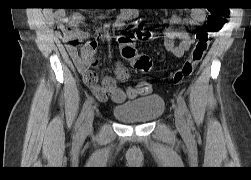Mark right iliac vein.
<instances>
[{
    "label": "right iliac vein",
    "instance_id": "63e3f726",
    "mask_svg": "<svg viewBox=\"0 0 251 180\" xmlns=\"http://www.w3.org/2000/svg\"><path fill=\"white\" fill-rule=\"evenodd\" d=\"M94 114H95V108L92 107V108H90V110L88 111V113L85 117V121L82 126L83 132H88L91 130L92 124H93V119H94Z\"/></svg>",
    "mask_w": 251,
    "mask_h": 180
}]
</instances>
